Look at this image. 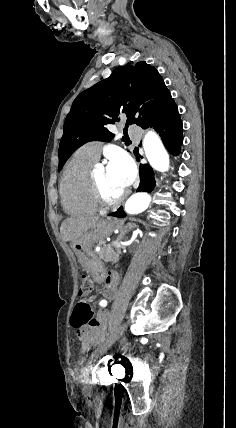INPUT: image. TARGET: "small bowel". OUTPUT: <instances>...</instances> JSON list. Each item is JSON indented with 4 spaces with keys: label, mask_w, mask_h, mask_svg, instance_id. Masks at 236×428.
<instances>
[{
    "label": "small bowel",
    "mask_w": 236,
    "mask_h": 428,
    "mask_svg": "<svg viewBox=\"0 0 236 428\" xmlns=\"http://www.w3.org/2000/svg\"><path fill=\"white\" fill-rule=\"evenodd\" d=\"M119 281L120 277L117 273L111 272L108 274L103 291L105 298L101 301L111 300L116 295ZM101 307L102 309L98 311L95 316L96 324L90 325L80 332H76V335L83 345V350L88 349L91 345L104 337L107 325V313L103 310L104 306Z\"/></svg>",
    "instance_id": "obj_1"
}]
</instances>
